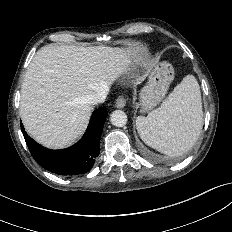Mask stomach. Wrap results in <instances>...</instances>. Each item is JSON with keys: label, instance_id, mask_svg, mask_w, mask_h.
<instances>
[{"label": "stomach", "instance_id": "obj_1", "mask_svg": "<svg viewBox=\"0 0 232 232\" xmlns=\"http://www.w3.org/2000/svg\"><path fill=\"white\" fill-rule=\"evenodd\" d=\"M173 79L174 69L169 62H156L153 65L148 82L139 93L142 111L151 110L160 104Z\"/></svg>", "mask_w": 232, "mask_h": 232}]
</instances>
